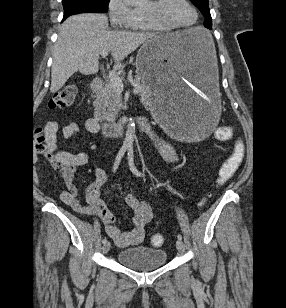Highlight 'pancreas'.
<instances>
[{
	"label": "pancreas",
	"instance_id": "cf45deb5",
	"mask_svg": "<svg viewBox=\"0 0 286 308\" xmlns=\"http://www.w3.org/2000/svg\"><path fill=\"white\" fill-rule=\"evenodd\" d=\"M133 84L139 90L138 94L141 97L142 103L148 105L151 97L149 87L143 81L140 83L139 79ZM121 101V93L115 89L111 81L107 82L95 94L93 102L95 108L94 116L100 121L114 122L121 107Z\"/></svg>",
	"mask_w": 286,
	"mask_h": 308
}]
</instances>
